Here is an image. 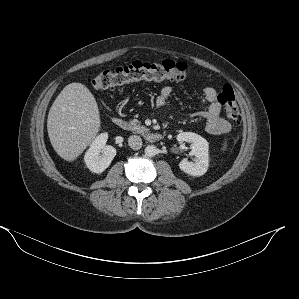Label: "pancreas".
I'll return each instance as SVG.
<instances>
[{"mask_svg": "<svg viewBox=\"0 0 299 299\" xmlns=\"http://www.w3.org/2000/svg\"><path fill=\"white\" fill-rule=\"evenodd\" d=\"M126 129L142 135L149 132V129L145 126H141L137 119L130 120L126 126Z\"/></svg>", "mask_w": 299, "mask_h": 299, "instance_id": "1", "label": "pancreas"}]
</instances>
